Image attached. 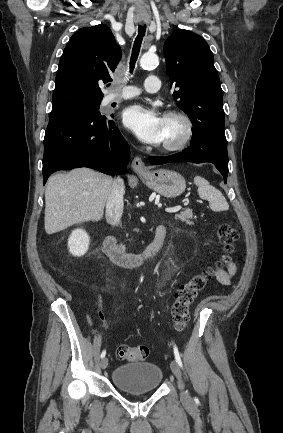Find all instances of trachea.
I'll return each mask as SVG.
<instances>
[{"instance_id": "trachea-1", "label": "trachea", "mask_w": 283, "mask_h": 433, "mask_svg": "<svg viewBox=\"0 0 283 433\" xmlns=\"http://www.w3.org/2000/svg\"><path fill=\"white\" fill-rule=\"evenodd\" d=\"M145 33H146V25H143V26L139 25L138 34H137L136 39H135L134 44H133V48H132V52H131V58H130V62H129L130 72H133V70L135 68V64H136L137 58L139 56L141 44H142L143 38L145 36Z\"/></svg>"}]
</instances>
